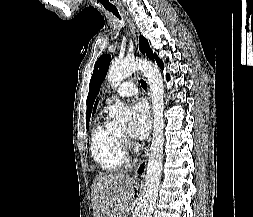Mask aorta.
<instances>
[{
    "label": "aorta",
    "instance_id": "aorta-1",
    "mask_svg": "<svg viewBox=\"0 0 253 217\" xmlns=\"http://www.w3.org/2000/svg\"><path fill=\"white\" fill-rule=\"evenodd\" d=\"M140 70L147 77L152 100L153 135L150 147L149 160L145 175L143 207L140 217H152L158 197V187L161 178L164 146V84L157 65L150 61L135 58H125L113 62L109 68L107 79L116 87L129 75ZM130 110L119 100L113 105L109 117L113 125L125 126L130 119Z\"/></svg>",
    "mask_w": 253,
    "mask_h": 217
}]
</instances>
